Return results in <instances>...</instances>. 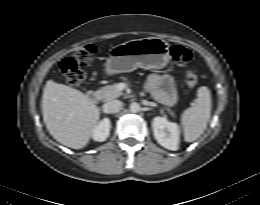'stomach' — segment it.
Returning a JSON list of instances; mask_svg holds the SVG:
<instances>
[{
	"label": "stomach",
	"mask_w": 260,
	"mask_h": 205,
	"mask_svg": "<svg viewBox=\"0 0 260 205\" xmlns=\"http://www.w3.org/2000/svg\"><path fill=\"white\" fill-rule=\"evenodd\" d=\"M169 44L158 37L130 40L112 48L105 70L108 75L136 68L161 69L170 61Z\"/></svg>",
	"instance_id": "1"
}]
</instances>
